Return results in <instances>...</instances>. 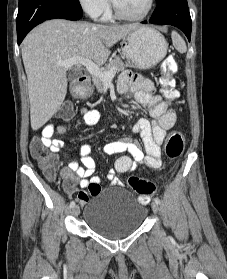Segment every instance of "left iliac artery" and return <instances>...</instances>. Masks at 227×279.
Here are the masks:
<instances>
[{"label":"left iliac artery","mask_w":227,"mask_h":279,"mask_svg":"<svg viewBox=\"0 0 227 279\" xmlns=\"http://www.w3.org/2000/svg\"><path fill=\"white\" fill-rule=\"evenodd\" d=\"M154 201L158 204H160V199L158 197L154 198Z\"/></svg>","instance_id":"left-iliac-artery-1"}]
</instances>
